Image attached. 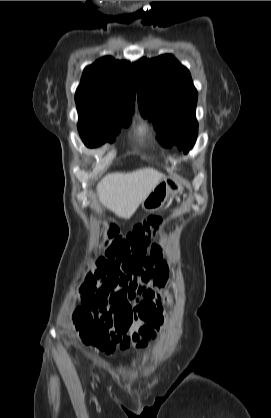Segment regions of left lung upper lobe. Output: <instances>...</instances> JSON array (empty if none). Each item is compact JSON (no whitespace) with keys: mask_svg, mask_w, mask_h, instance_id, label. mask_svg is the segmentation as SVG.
<instances>
[{"mask_svg":"<svg viewBox=\"0 0 271 418\" xmlns=\"http://www.w3.org/2000/svg\"><path fill=\"white\" fill-rule=\"evenodd\" d=\"M132 67L141 114L153 121L163 145L188 153L198 132V94L189 71L170 54L142 58Z\"/></svg>","mask_w":271,"mask_h":418,"instance_id":"5c2ea615","label":"left lung upper lobe"}]
</instances>
